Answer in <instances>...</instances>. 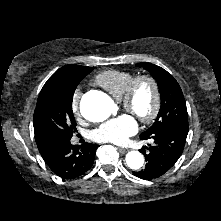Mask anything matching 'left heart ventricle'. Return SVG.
I'll return each mask as SVG.
<instances>
[{"instance_id": "left-heart-ventricle-1", "label": "left heart ventricle", "mask_w": 221, "mask_h": 221, "mask_svg": "<svg viewBox=\"0 0 221 221\" xmlns=\"http://www.w3.org/2000/svg\"><path fill=\"white\" fill-rule=\"evenodd\" d=\"M153 94L149 84L140 83L135 91L132 102V114L146 115L151 111Z\"/></svg>"}]
</instances>
